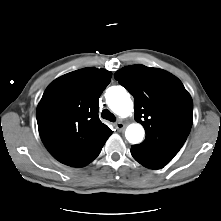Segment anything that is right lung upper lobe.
I'll return each instance as SVG.
<instances>
[{"mask_svg":"<svg viewBox=\"0 0 221 221\" xmlns=\"http://www.w3.org/2000/svg\"><path fill=\"white\" fill-rule=\"evenodd\" d=\"M111 72L84 68L54 80L37 107L40 137L51 155L72 166L106 140L112 130L98 116L99 97Z\"/></svg>","mask_w":221,"mask_h":221,"instance_id":"cb5924a9","label":"right lung upper lobe"}]
</instances>
